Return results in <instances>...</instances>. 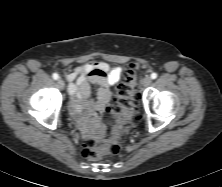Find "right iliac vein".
<instances>
[{"instance_id": "right-iliac-vein-1", "label": "right iliac vein", "mask_w": 222, "mask_h": 187, "mask_svg": "<svg viewBox=\"0 0 222 187\" xmlns=\"http://www.w3.org/2000/svg\"><path fill=\"white\" fill-rule=\"evenodd\" d=\"M57 84H58L59 88L64 89L65 82L62 79H58Z\"/></svg>"}]
</instances>
